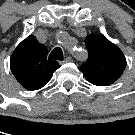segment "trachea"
I'll list each match as a JSON object with an SVG mask.
<instances>
[{
  "instance_id": "3493384b",
  "label": "trachea",
  "mask_w": 135,
  "mask_h": 135,
  "mask_svg": "<svg viewBox=\"0 0 135 135\" xmlns=\"http://www.w3.org/2000/svg\"><path fill=\"white\" fill-rule=\"evenodd\" d=\"M63 52L62 49L57 47L54 48L53 51L50 53L49 55V59H53V60H61L63 61Z\"/></svg>"
}]
</instances>
